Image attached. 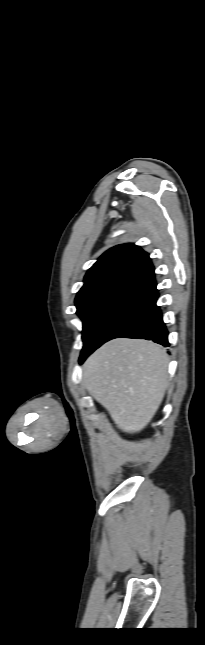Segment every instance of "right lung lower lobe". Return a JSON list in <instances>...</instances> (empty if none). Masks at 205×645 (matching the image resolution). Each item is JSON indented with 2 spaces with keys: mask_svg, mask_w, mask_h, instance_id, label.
I'll use <instances>...</instances> for the list:
<instances>
[{
  "mask_svg": "<svg viewBox=\"0 0 205 645\" xmlns=\"http://www.w3.org/2000/svg\"><path fill=\"white\" fill-rule=\"evenodd\" d=\"M158 296V290L155 287L150 291V299L145 306L115 329L104 342L114 338L126 337L149 339L163 346H169L168 331L163 322L161 311L156 305ZM93 351L82 355L80 363Z\"/></svg>",
  "mask_w": 205,
  "mask_h": 645,
  "instance_id": "obj_1",
  "label": "right lung lower lobe"
}]
</instances>
